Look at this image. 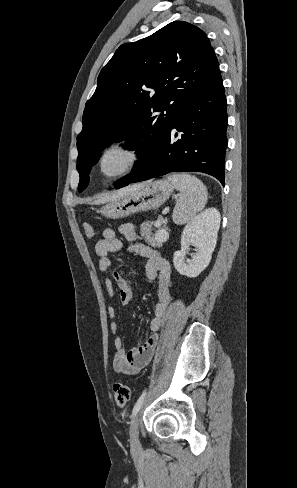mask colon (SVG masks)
<instances>
[{"label":"colon","mask_w":297,"mask_h":488,"mask_svg":"<svg viewBox=\"0 0 297 488\" xmlns=\"http://www.w3.org/2000/svg\"><path fill=\"white\" fill-rule=\"evenodd\" d=\"M84 232L88 239L95 237V230L90 224L84 225ZM114 398L118 406H125L131 398V388L124 383H116L113 388Z\"/></svg>","instance_id":"5ec220e1"}]
</instances>
